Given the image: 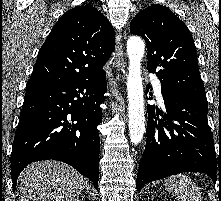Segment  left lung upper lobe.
Wrapping results in <instances>:
<instances>
[{
	"instance_id": "left-lung-upper-lobe-1",
	"label": "left lung upper lobe",
	"mask_w": 221,
	"mask_h": 201,
	"mask_svg": "<svg viewBox=\"0 0 221 201\" xmlns=\"http://www.w3.org/2000/svg\"><path fill=\"white\" fill-rule=\"evenodd\" d=\"M130 31L145 40L147 69L160 79L161 91L206 98L190 31L169 8L154 4L143 9Z\"/></svg>"
}]
</instances>
